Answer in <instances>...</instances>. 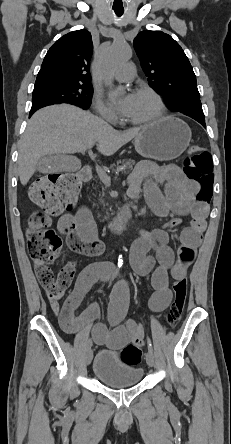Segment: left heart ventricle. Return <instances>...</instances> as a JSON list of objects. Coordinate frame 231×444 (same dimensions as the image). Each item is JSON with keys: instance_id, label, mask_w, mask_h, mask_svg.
Instances as JSON below:
<instances>
[{"instance_id": "b2bd125f", "label": "left heart ventricle", "mask_w": 231, "mask_h": 444, "mask_svg": "<svg viewBox=\"0 0 231 444\" xmlns=\"http://www.w3.org/2000/svg\"><path fill=\"white\" fill-rule=\"evenodd\" d=\"M158 104L149 94H134V100L129 113L126 115L131 120H144L156 115Z\"/></svg>"}]
</instances>
